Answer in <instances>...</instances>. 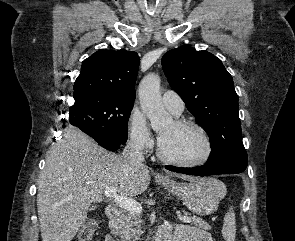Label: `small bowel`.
I'll list each match as a JSON object with an SVG mask.
<instances>
[{"label": "small bowel", "mask_w": 295, "mask_h": 241, "mask_svg": "<svg viewBox=\"0 0 295 241\" xmlns=\"http://www.w3.org/2000/svg\"><path fill=\"white\" fill-rule=\"evenodd\" d=\"M173 233V241H211L209 235L202 230L190 226H165L160 233L169 235ZM106 241H113L111 237Z\"/></svg>", "instance_id": "c3829d8e"}]
</instances>
